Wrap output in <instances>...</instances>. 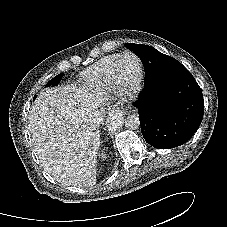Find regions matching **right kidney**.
Instances as JSON below:
<instances>
[{
	"instance_id": "1",
	"label": "right kidney",
	"mask_w": 227,
	"mask_h": 227,
	"mask_svg": "<svg viewBox=\"0 0 227 227\" xmlns=\"http://www.w3.org/2000/svg\"><path fill=\"white\" fill-rule=\"evenodd\" d=\"M102 158H105L104 154L102 153Z\"/></svg>"
}]
</instances>
